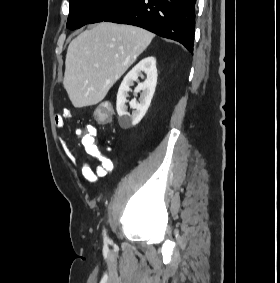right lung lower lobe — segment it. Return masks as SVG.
Wrapping results in <instances>:
<instances>
[{"mask_svg":"<svg viewBox=\"0 0 280 283\" xmlns=\"http://www.w3.org/2000/svg\"><path fill=\"white\" fill-rule=\"evenodd\" d=\"M196 0H132L104 21L147 29L193 53Z\"/></svg>","mask_w":280,"mask_h":283,"instance_id":"right-lung-lower-lobe-1","label":"right lung lower lobe"}]
</instances>
